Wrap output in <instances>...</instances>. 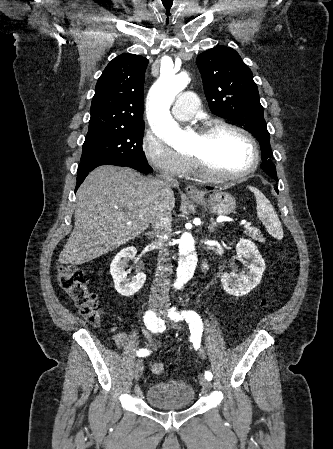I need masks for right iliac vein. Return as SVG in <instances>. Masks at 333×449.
<instances>
[{
    "mask_svg": "<svg viewBox=\"0 0 333 449\" xmlns=\"http://www.w3.org/2000/svg\"><path fill=\"white\" fill-rule=\"evenodd\" d=\"M154 307L156 309L159 308V305L157 303H154ZM143 371V361L141 359H138L134 362V380L137 381L141 377Z\"/></svg>",
    "mask_w": 333,
    "mask_h": 449,
    "instance_id": "right-iliac-vein-1",
    "label": "right iliac vein"
}]
</instances>
